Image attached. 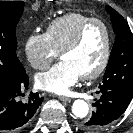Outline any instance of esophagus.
Segmentation results:
<instances>
[{
	"mask_svg": "<svg viewBox=\"0 0 133 133\" xmlns=\"http://www.w3.org/2000/svg\"><path fill=\"white\" fill-rule=\"evenodd\" d=\"M59 99L63 102H70L71 101V98L69 97H65V96H59Z\"/></svg>",
	"mask_w": 133,
	"mask_h": 133,
	"instance_id": "1",
	"label": "esophagus"
}]
</instances>
